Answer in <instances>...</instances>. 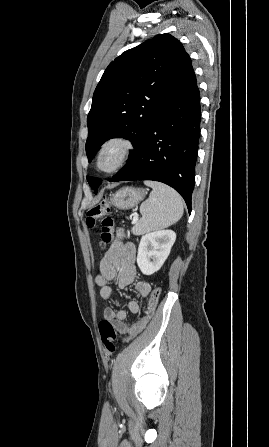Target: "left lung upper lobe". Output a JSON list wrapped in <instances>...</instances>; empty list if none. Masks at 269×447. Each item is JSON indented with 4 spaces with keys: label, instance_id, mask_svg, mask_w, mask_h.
Returning a JSON list of instances; mask_svg holds the SVG:
<instances>
[{
    "label": "left lung upper lobe",
    "instance_id": "left-lung-upper-lobe-1",
    "mask_svg": "<svg viewBox=\"0 0 269 447\" xmlns=\"http://www.w3.org/2000/svg\"><path fill=\"white\" fill-rule=\"evenodd\" d=\"M186 56L176 38L161 34L124 52L109 64L96 87L87 118L89 162L105 141L122 136L135 149L116 175L130 165L142 149ZM87 180L97 193L102 180L90 176Z\"/></svg>",
    "mask_w": 269,
    "mask_h": 447
}]
</instances>
